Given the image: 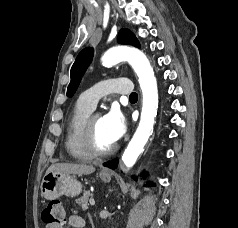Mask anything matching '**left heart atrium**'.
<instances>
[{
  "mask_svg": "<svg viewBox=\"0 0 238 228\" xmlns=\"http://www.w3.org/2000/svg\"><path fill=\"white\" fill-rule=\"evenodd\" d=\"M103 123L110 139L115 143L126 132V119L120 110L112 108L103 116Z\"/></svg>",
  "mask_w": 238,
  "mask_h": 228,
  "instance_id": "39dd6f15",
  "label": "left heart atrium"
}]
</instances>
